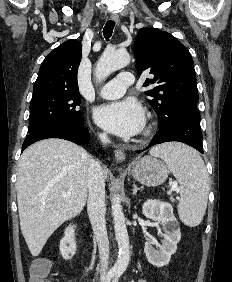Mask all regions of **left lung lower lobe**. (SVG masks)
I'll list each match as a JSON object with an SVG mask.
<instances>
[{
    "instance_id": "obj_1",
    "label": "left lung lower lobe",
    "mask_w": 232,
    "mask_h": 282,
    "mask_svg": "<svg viewBox=\"0 0 232 282\" xmlns=\"http://www.w3.org/2000/svg\"><path fill=\"white\" fill-rule=\"evenodd\" d=\"M159 122V131L146 149L156 144L178 141L203 154L200 113L197 107L184 102L178 103L165 116L159 117Z\"/></svg>"
}]
</instances>
